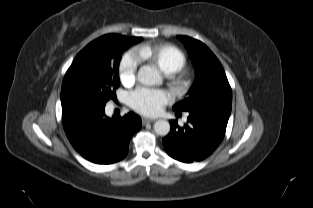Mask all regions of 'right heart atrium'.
I'll return each mask as SVG.
<instances>
[{"label": "right heart atrium", "mask_w": 313, "mask_h": 208, "mask_svg": "<svg viewBox=\"0 0 313 208\" xmlns=\"http://www.w3.org/2000/svg\"><path fill=\"white\" fill-rule=\"evenodd\" d=\"M140 58L135 52H129L123 56L119 64L120 80L125 85H132L136 79Z\"/></svg>", "instance_id": "1"}]
</instances>
